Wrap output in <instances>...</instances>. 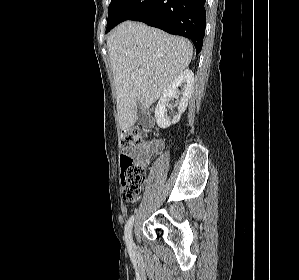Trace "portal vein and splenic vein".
<instances>
[{
	"mask_svg": "<svg viewBox=\"0 0 299 280\" xmlns=\"http://www.w3.org/2000/svg\"><path fill=\"white\" fill-rule=\"evenodd\" d=\"M139 74H144V70L143 69H139Z\"/></svg>",
	"mask_w": 299,
	"mask_h": 280,
	"instance_id": "1",
	"label": "portal vein and splenic vein"
}]
</instances>
